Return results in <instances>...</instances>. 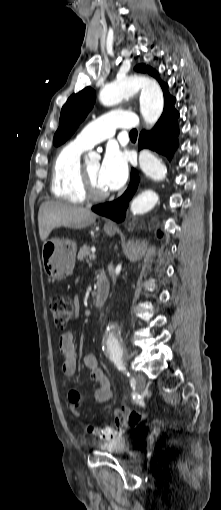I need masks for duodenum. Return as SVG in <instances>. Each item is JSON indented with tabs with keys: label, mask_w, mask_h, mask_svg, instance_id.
Segmentation results:
<instances>
[{
	"label": "duodenum",
	"mask_w": 221,
	"mask_h": 510,
	"mask_svg": "<svg viewBox=\"0 0 221 510\" xmlns=\"http://www.w3.org/2000/svg\"><path fill=\"white\" fill-rule=\"evenodd\" d=\"M108 292H109L108 280L103 273H99L97 276V286L93 301L94 307H100L104 304V302L107 299Z\"/></svg>",
	"instance_id": "410a0bca"
}]
</instances>
